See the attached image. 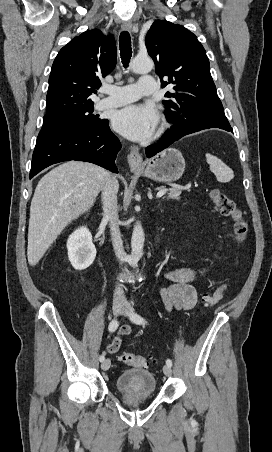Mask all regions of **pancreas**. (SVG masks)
I'll use <instances>...</instances> for the list:
<instances>
[{
  "label": "pancreas",
  "instance_id": "obj_1",
  "mask_svg": "<svg viewBox=\"0 0 272 452\" xmlns=\"http://www.w3.org/2000/svg\"><path fill=\"white\" fill-rule=\"evenodd\" d=\"M163 188H158V190H162ZM181 194V189L178 188H172L169 189L167 194V199H179V196Z\"/></svg>",
  "mask_w": 272,
  "mask_h": 452
}]
</instances>
